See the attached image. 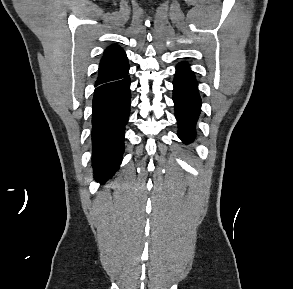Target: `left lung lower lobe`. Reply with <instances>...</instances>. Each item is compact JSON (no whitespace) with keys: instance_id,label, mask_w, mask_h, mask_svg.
<instances>
[{"instance_id":"0a47b994","label":"left lung lower lobe","mask_w":293,"mask_h":289,"mask_svg":"<svg viewBox=\"0 0 293 289\" xmlns=\"http://www.w3.org/2000/svg\"><path fill=\"white\" fill-rule=\"evenodd\" d=\"M173 85L175 116L179 124L178 136L185 144H189L196 135L195 125L200 114L201 98L197 81L186 62L177 65Z\"/></svg>"}]
</instances>
